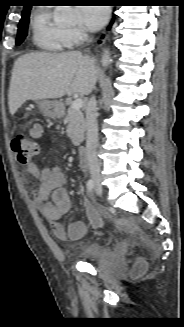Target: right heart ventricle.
I'll return each instance as SVG.
<instances>
[{
    "label": "right heart ventricle",
    "mask_w": 184,
    "mask_h": 327,
    "mask_svg": "<svg viewBox=\"0 0 184 327\" xmlns=\"http://www.w3.org/2000/svg\"><path fill=\"white\" fill-rule=\"evenodd\" d=\"M34 44L47 51H63L70 47L68 29L60 25L49 8L38 9L31 20Z\"/></svg>",
    "instance_id": "e07e8e85"
}]
</instances>
